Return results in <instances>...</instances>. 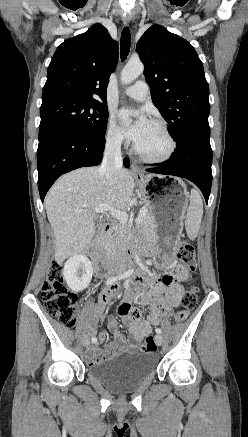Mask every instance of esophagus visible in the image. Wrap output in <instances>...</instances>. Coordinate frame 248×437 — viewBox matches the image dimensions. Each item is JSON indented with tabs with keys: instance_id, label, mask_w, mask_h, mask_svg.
<instances>
[{
	"instance_id": "34e87169",
	"label": "esophagus",
	"mask_w": 248,
	"mask_h": 437,
	"mask_svg": "<svg viewBox=\"0 0 248 437\" xmlns=\"http://www.w3.org/2000/svg\"><path fill=\"white\" fill-rule=\"evenodd\" d=\"M130 21H131V16L130 15L127 14V15L123 16V24L126 27L129 26ZM131 171H132L134 176H139V177L143 176L141 170L134 163L131 165Z\"/></svg>"
}]
</instances>
